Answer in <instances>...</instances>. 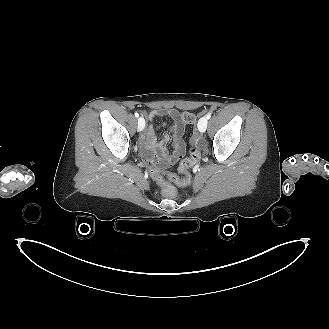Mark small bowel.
<instances>
[{"instance_id":"1","label":"small bowel","mask_w":329,"mask_h":329,"mask_svg":"<svg viewBox=\"0 0 329 329\" xmlns=\"http://www.w3.org/2000/svg\"><path fill=\"white\" fill-rule=\"evenodd\" d=\"M142 114L149 121V124L141 136V145L145 151L146 160L151 164L167 167L181 158L185 150V143L183 140L184 125L180 118V112L177 109H170L168 111L164 109H154L149 113L142 112ZM166 114L169 115L173 121V151L171 153H169L166 148L169 135H165L161 142H157L156 130L159 127L153 124L155 117ZM166 125L167 123L162 124V126Z\"/></svg>"}]
</instances>
